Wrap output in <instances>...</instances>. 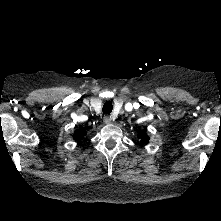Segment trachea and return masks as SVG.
<instances>
[{"label": "trachea", "mask_w": 221, "mask_h": 221, "mask_svg": "<svg viewBox=\"0 0 221 221\" xmlns=\"http://www.w3.org/2000/svg\"><path fill=\"white\" fill-rule=\"evenodd\" d=\"M113 105L110 101H106L103 105L102 111L104 114H110L112 112Z\"/></svg>", "instance_id": "1"}]
</instances>
